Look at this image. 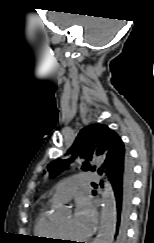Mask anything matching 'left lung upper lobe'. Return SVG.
Returning <instances> with one entry per match:
<instances>
[{
    "mask_svg": "<svg viewBox=\"0 0 154 243\" xmlns=\"http://www.w3.org/2000/svg\"><path fill=\"white\" fill-rule=\"evenodd\" d=\"M68 153L75 157L85 158L86 161L82 164L81 169L84 171L94 170L88 163L94 156H102L105 160L107 157H113L121 154L124 156L126 150L124 144L118 134L109 129L104 124H93L83 128L78 134L74 144L68 150ZM74 161L72 159H57L48 165L49 176L51 178L58 175L68 165ZM95 191H93V194Z\"/></svg>",
    "mask_w": 154,
    "mask_h": 243,
    "instance_id": "5c2ea615",
    "label": "left lung upper lobe"
}]
</instances>
